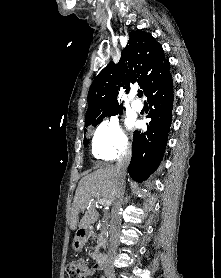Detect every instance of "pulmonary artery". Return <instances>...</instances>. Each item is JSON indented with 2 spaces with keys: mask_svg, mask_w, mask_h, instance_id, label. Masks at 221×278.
I'll use <instances>...</instances> for the list:
<instances>
[{
  "mask_svg": "<svg viewBox=\"0 0 221 278\" xmlns=\"http://www.w3.org/2000/svg\"><path fill=\"white\" fill-rule=\"evenodd\" d=\"M135 93L132 95L131 106L134 110L140 111L143 108V103L140 100L135 99Z\"/></svg>",
  "mask_w": 221,
  "mask_h": 278,
  "instance_id": "obj_1",
  "label": "pulmonary artery"
}]
</instances>
